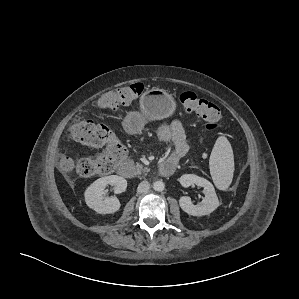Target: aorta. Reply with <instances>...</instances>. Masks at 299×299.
Masks as SVG:
<instances>
[{
	"instance_id": "1",
	"label": "aorta",
	"mask_w": 299,
	"mask_h": 299,
	"mask_svg": "<svg viewBox=\"0 0 299 299\" xmlns=\"http://www.w3.org/2000/svg\"><path fill=\"white\" fill-rule=\"evenodd\" d=\"M165 188V184L163 183V181H156L153 183V189L155 191L161 192L163 191Z\"/></svg>"
}]
</instances>
